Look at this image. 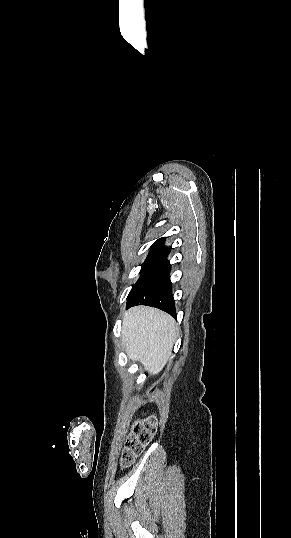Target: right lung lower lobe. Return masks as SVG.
Instances as JSON below:
<instances>
[{
    "instance_id": "obj_1",
    "label": "right lung lower lobe",
    "mask_w": 291,
    "mask_h": 538,
    "mask_svg": "<svg viewBox=\"0 0 291 538\" xmlns=\"http://www.w3.org/2000/svg\"><path fill=\"white\" fill-rule=\"evenodd\" d=\"M171 265L167 258L138 286L127 302L126 308L147 305L162 309L176 317L175 302L170 281Z\"/></svg>"
}]
</instances>
